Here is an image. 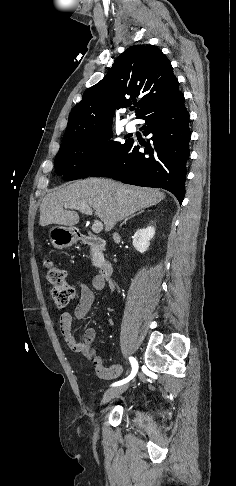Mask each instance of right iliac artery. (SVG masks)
Masks as SVG:
<instances>
[{"label":"right iliac artery","mask_w":236,"mask_h":486,"mask_svg":"<svg viewBox=\"0 0 236 486\" xmlns=\"http://www.w3.org/2000/svg\"><path fill=\"white\" fill-rule=\"evenodd\" d=\"M129 360H130V363H131V366H132L131 374L127 378H125L121 381L115 382L113 384V386H118V385H122L124 383H127L136 375V373L138 371V362L136 361V359L134 357H129Z\"/></svg>","instance_id":"obj_1"}]
</instances>
